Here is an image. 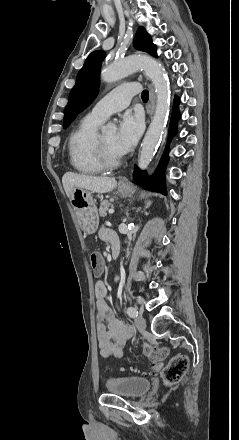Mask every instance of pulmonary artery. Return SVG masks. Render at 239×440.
<instances>
[{
  "label": "pulmonary artery",
  "mask_w": 239,
  "mask_h": 440,
  "mask_svg": "<svg viewBox=\"0 0 239 440\" xmlns=\"http://www.w3.org/2000/svg\"><path fill=\"white\" fill-rule=\"evenodd\" d=\"M140 90L141 86L138 83L121 85L96 101L88 116L102 122L111 113L126 108L130 104L132 96Z\"/></svg>",
  "instance_id": "e3ab8cb5"
}]
</instances>
